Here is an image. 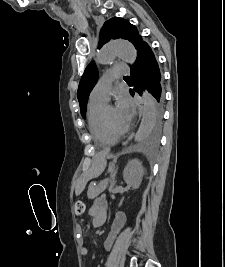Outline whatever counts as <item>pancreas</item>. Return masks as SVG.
Masks as SVG:
<instances>
[{
  "label": "pancreas",
  "instance_id": "1",
  "mask_svg": "<svg viewBox=\"0 0 225 267\" xmlns=\"http://www.w3.org/2000/svg\"><path fill=\"white\" fill-rule=\"evenodd\" d=\"M108 182L107 183H100L98 185H94L91 183L88 187V192L87 196L89 199H94L97 197L100 193H102L106 188H107Z\"/></svg>",
  "mask_w": 225,
  "mask_h": 267
}]
</instances>
